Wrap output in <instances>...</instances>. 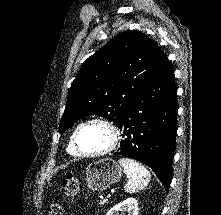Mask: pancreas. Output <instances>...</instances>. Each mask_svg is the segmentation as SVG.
<instances>
[{"instance_id": "pancreas-1", "label": "pancreas", "mask_w": 221, "mask_h": 215, "mask_svg": "<svg viewBox=\"0 0 221 215\" xmlns=\"http://www.w3.org/2000/svg\"><path fill=\"white\" fill-rule=\"evenodd\" d=\"M106 203H107V200H102V201L99 202L100 205H104Z\"/></svg>"}]
</instances>
